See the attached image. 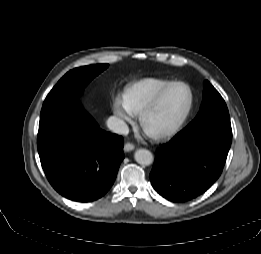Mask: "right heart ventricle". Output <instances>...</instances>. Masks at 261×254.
Instances as JSON below:
<instances>
[{"instance_id": "right-heart-ventricle-1", "label": "right heart ventricle", "mask_w": 261, "mask_h": 254, "mask_svg": "<svg viewBox=\"0 0 261 254\" xmlns=\"http://www.w3.org/2000/svg\"><path fill=\"white\" fill-rule=\"evenodd\" d=\"M169 83L171 81L152 78L134 83L126 96L130 109L135 115L141 113Z\"/></svg>"}]
</instances>
